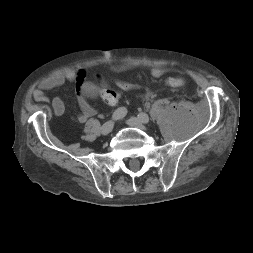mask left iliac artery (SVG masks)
Returning <instances> with one entry per match:
<instances>
[{"mask_svg": "<svg viewBox=\"0 0 253 253\" xmlns=\"http://www.w3.org/2000/svg\"><path fill=\"white\" fill-rule=\"evenodd\" d=\"M137 117L141 120V121H143V122H148L147 120H146V118L148 117V115L147 114H145V113H139L138 115H137Z\"/></svg>", "mask_w": 253, "mask_h": 253, "instance_id": "1", "label": "left iliac artery"}]
</instances>
